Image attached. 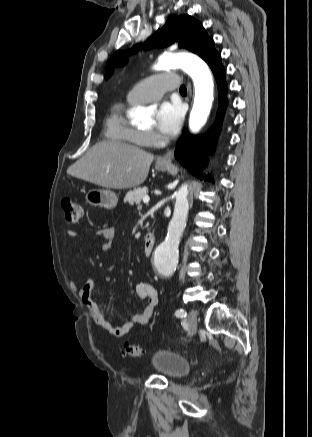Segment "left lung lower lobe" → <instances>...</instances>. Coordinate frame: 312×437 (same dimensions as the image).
<instances>
[{
  "instance_id": "left-lung-lower-lobe-1",
  "label": "left lung lower lobe",
  "mask_w": 312,
  "mask_h": 437,
  "mask_svg": "<svg viewBox=\"0 0 312 437\" xmlns=\"http://www.w3.org/2000/svg\"><path fill=\"white\" fill-rule=\"evenodd\" d=\"M207 63L215 75L219 91V108L217 111L216 124L209 134L203 136L194 137L185 130L177 143L175 151L176 159H178L183 166H185L192 174L196 176L206 164V153L212 149V139L216 137L220 129L221 120L227 104L225 69L221 63L220 55L215 53ZM205 179L208 180L209 177L205 176Z\"/></svg>"
}]
</instances>
